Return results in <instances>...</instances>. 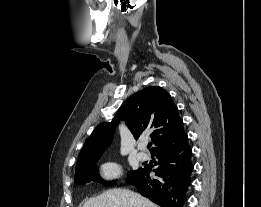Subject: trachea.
<instances>
[{"label": "trachea", "instance_id": "3493384b", "mask_svg": "<svg viewBox=\"0 0 261 207\" xmlns=\"http://www.w3.org/2000/svg\"><path fill=\"white\" fill-rule=\"evenodd\" d=\"M151 146H152V144H151V143H149L147 147H148V148H150Z\"/></svg>", "mask_w": 261, "mask_h": 207}]
</instances>
